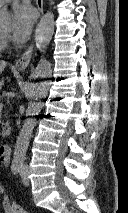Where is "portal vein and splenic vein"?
<instances>
[{"label":"portal vein and splenic vein","instance_id":"18ae733b","mask_svg":"<svg viewBox=\"0 0 128 213\" xmlns=\"http://www.w3.org/2000/svg\"><path fill=\"white\" fill-rule=\"evenodd\" d=\"M2 108H3V104L1 103L0 104V112H1Z\"/></svg>","mask_w":128,"mask_h":213}]
</instances>
